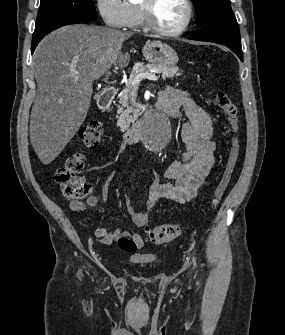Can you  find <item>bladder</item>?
Masks as SVG:
<instances>
[{
	"label": "bladder",
	"mask_w": 285,
	"mask_h": 335,
	"mask_svg": "<svg viewBox=\"0 0 285 335\" xmlns=\"http://www.w3.org/2000/svg\"><path fill=\"white\" fill-rule=\"evenodd\" d=\"M130 265H155V258H130Z\"/></svg>",
	"instance_id": "1"
}]
</instances>
